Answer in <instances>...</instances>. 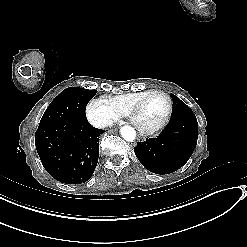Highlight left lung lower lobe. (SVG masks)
<instances>
[{
	"mask_svg": "<svg viewBox=\"0 0 247 247\" xmlns=\"http://www.w3.org/2000/svg\"><path fill=\"white\" fill-rule=\"evenodd\" d=\"M197 137L195 115H179L171 118L159 136L137 143L134 152L149 171L169 174L186 164L196 147Z\"/></svg>",
	"mask_w": 247,
	"mask_h": 247,
	"instance_id": "left-lung-lower-lobe-1",
	"label": "left lung lower lobe"
}]
</instances>
